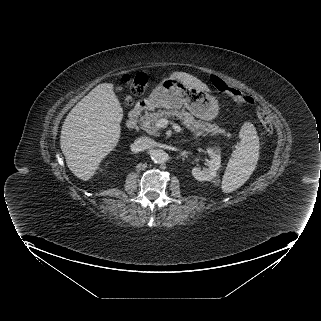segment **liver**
Masks as SVG:
<instances>
[{"mask_svg": "<svg viewBox=\"0 0 321 321\" xmlns=\"http://www.w3.org/2000/svg\"><path fill=\"white\" fill-rule=\"evenodd\" d=\"M188 86L208 91L196 77L185 72L170 75ZM113 84L102 83L90 91L67 115L61 130L60 146L71 172L87 181L101 161L119 142L123 109Z\"/></svg>", "mask_w": 321, "mask_h": 321, "instance_id": "6515ba94", "label": "liver"}]
</instances>
